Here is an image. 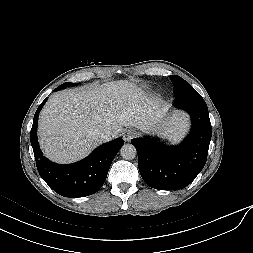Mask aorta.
Masks as SVG:
<instances>
[{
	"label": "aorta",
	"instance_id": "762f6f07",
	"mask_svg": "<svg viewBox=\"0 0 253 253\" xmlns=\"http://www.w3.org/2000/svg\"><path fill=\"white\" fill-rule=\"evenodd\" d=\"M121 156L126 160H132L136 157L137 151L132 144H124L120 149Z\"/></svg>",
	"mask_w": 253,
	"mask_h": 253
}]
</instances>
